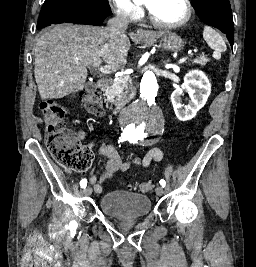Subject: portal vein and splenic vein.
<instances>
[{"instance_id": "portal-vein-and-splenic-vein-1", "label": "portal vein and splenic vein", "mask_w": 256, "mask_h": 267, "mask_svg": "<svg viewBox=\"0 0 256 267\" xmlns=\"http://www.w3.org/2000/svg\"><path fill=\"white\" fill-rule=\"evenodd\" d=\"M185 59H187V56H184V59L177 60V62H175V65H179V63L185 64L186 63ZM93 66L94 68H97L99 72H102V74H110V72H117V70H120L118 66H101L100 60H97V62H94Z\"/></svg>"}]
</instances>
